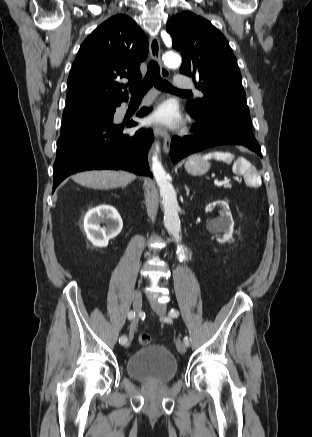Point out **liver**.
<instances>
[{"instance_id": "1", "label": "liver", "mask_w": 312, "mask_h": 437, "mask_svg": "<svg viewBox=\"0 0 312 437\" xmlns=\"http://www.w3.org/2000/svg\"><path fill=\"white\" fill-rule=\"evenodd\" d=\"M135 177L134 174L123 170H99L82 172L74 175L72 179L84 187L103 190L126 186Z\"/></svg>"}]
</instances>
